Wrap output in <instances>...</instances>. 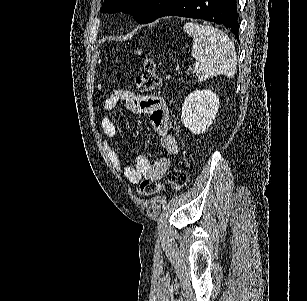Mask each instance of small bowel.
<instances>
[{
	"label": "small bowel",
	"instance_id": "1",
	"mask_svg": "<svg viewBox=\"0 0 307 301\" xmlns=\"http://www.w3.org/2000/svg\"><path fill=\"white\" fill-rule=\"evenodd\" d=\"M137 114H147L150 124L160 137L162 149L168 155L178 152V145L174 136L169 132V115L165 101L158 96L136 95L129 90H116L104 101L105 111L114 110L119 103ZM101 129L104 134L103 146L113 166L131 183H138L141 179L159 180L169 170L171 161L168 157L161 158L151 163L145 155H138L133 165H124L119 153L111 146L117 135L115 123L109 118L101 120Z\"/></svg>",
	"mask_w": 307,
	"mask_h": 301
}]
</instances>
